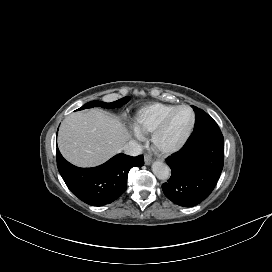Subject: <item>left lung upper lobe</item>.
Returning <instances> with one entry per match:
<instances>
[{"instance_id": "obj_1", "label": "left lung upper lobe", "mask_w": 272, "mask_h": 272, "mask_svg": "<svg viewBox=\"0 0 272 272\" xmlns=\"http://www.w3.org/2000/svg\"><path fill=\"white\" fill-rule=\"evenodd\" d=\"M196 113L195 127L192 134H197L205 129L217 124L206 112L195 106H192Z\"/></svg>"}]
</instances>
